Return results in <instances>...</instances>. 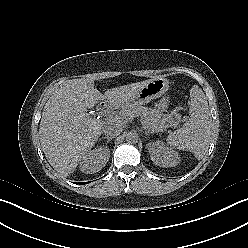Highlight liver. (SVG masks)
<instances>
[{
    "label": "liver",
    "instance_id": "obj_1",
    "mask_svg": "<svg viewBox=\"0 0 248 248\" xmlns=\"http://www.w3.org/2000/svg\"><path fill=\"white\" fill-rule=\"evenodd\" d=\"M148 80L108 89L104 95L93 80L73 79L62 84L44 106L40 121L42 150L50 165L61 175L73 173L94 146L104 123L93 119L88 109L107 99L111 104L127 102Z\"/></svg>",
    "mask_w": 248,
    "mask_h": 248
}]
</instances>
